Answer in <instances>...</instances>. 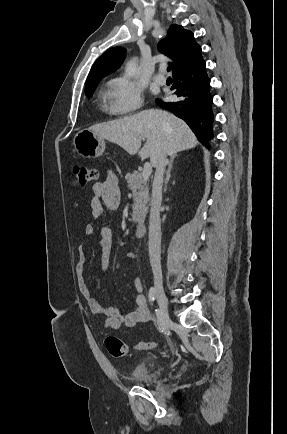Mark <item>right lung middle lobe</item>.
<instances>
[{
  "mask_svg": "<svg viewBox=\"0 0 287 434\" xmlns=\"http://www.w3.org/2000/svg\"><path fill=\"white\" fill-rule=\"evenodd\" d=\"M99 81L97 82H91L86 84L85 87V94L88 98H90L94 92V90L96 89L97 85H98Z\"/></svg>",
  "mask_w": 287,
  "mask_h": 434,
  "instance_id": "obj_1",
  "label": "right lung middle lobe"
}]
</instances>
